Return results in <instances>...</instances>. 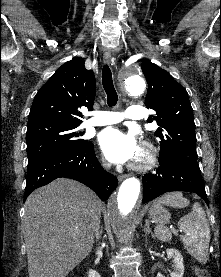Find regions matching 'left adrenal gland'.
<instances>
[{
    "label": "left adrenal gland",
    "instance_id": "a2214340",
    "mask_svg": "<svg viewBox=\"0 0 221 277\" xmlns=\"http://www.w3.org/2000/svg\"><path fill=\"white\" fill-rule=\"evenodd\" d=\"M144 232L145 234H150L152 235V237H154L151 228H150V224H149V220H146L145 225H144Z\"/></svg>",
    "mask_w": 221,
    "mask_h": 277
}]
</instances>
